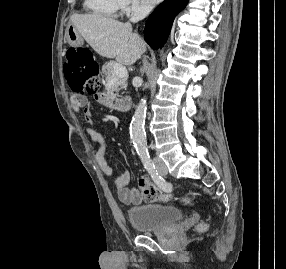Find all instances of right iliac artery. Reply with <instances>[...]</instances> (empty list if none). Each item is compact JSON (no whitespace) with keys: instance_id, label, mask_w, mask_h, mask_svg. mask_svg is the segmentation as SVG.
Masks as SVG:
<instances>
[{"instance_id":"82829eb1","label":"right iliac artery","mask_w":286,"mask_h":269,"mask_svg":"<svg viewBox=\"0 0 286 269\" xmlns=\"http://www.w3.org/2000/svg\"><path fill=\"white\" fill-rule=\"evenodd\" d=\"M142 162L144 164L145 169L149 172V174L151 175L154 182L160 188L166 187L167 184H166L165 180L157 172L154 162L149 157L143 158Z\"/></svg>"}]
</instances>
